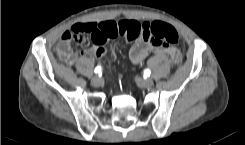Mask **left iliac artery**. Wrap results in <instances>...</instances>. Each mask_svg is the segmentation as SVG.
I'll use <instances>...</instances> for the list:
<instances>
[{"mask_svg": "<svg viewBox=\"0 0 245 145\" xmlns=\"http://www.w3.org/2000/svg\"><path fill=\"white\" fill-rule=\"evenodd\" d=\"M144 74H145L146 76H150L151 71H150L149 69H146V70L144 71Z\"/></svg>", "mask_w": 245, "mask_h": 145, "instance_id": "44dca946", "label": "left iliac artery"}]
</instances>
